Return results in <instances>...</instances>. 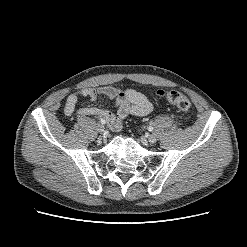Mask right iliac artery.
I'll return each mask as SVG.
<instances>
[{
  "label": "right iliac artery",
  "mask_w": 247,
  "mask_h": 247,
  "mask_svg": "<svg viewBox=\"0 0 247 247\" xmlns=\"http://www.w3.org/2000/svg\"><path fill=\"white\" fill-rule=\"evenodd\" d=\"M99 121L101 122V124H105V120L100 118Z\"/></svg>",
  "instance_id": "1"
}]
</instances>
